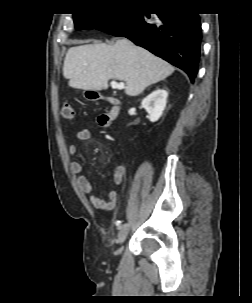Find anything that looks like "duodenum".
<instances>
[{
  "label": "duodenum",
  "instance_id": "1",
  "mask_svg": "<svg viewBox=\"0 0 252 303\" xmlns=\"http://www.w3.org/2000/svg\"><path fill=\"white\" fill-rule=\"evenodd\" d=\"M110 102L112 103V108L110 112L103 115V118L106 122H112L117 118L119 114V109H120L119 101L117 99L110 98Z\"/></svg>",
  "mask_w": 252,
  "mask_h": 303
}]
</instances>
